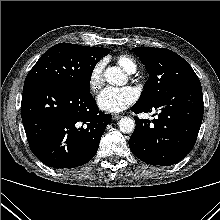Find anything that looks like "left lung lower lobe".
Segmentation results:
<instances>
[{
  "instance_id": "0a47b994",
  "label": "left lung lower lobe",
  "mask_w": 220,
  "mask_h": 220,
  "mask_svg": "<svg viewBox=\"0 0 220 220\" xmlns=\"http://www.w3.org/2000/svg\"><path fill=\"white\" fill-rule=\"evenodd\" d=\"M158 110L157 119L134 117L136 128L129 139L132 153L151 165L169 166L181 161L193 148L203 119L201 84L173 90L150 104L136 103V114Z\"/></svg>"
}]
</instances>
